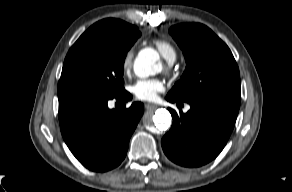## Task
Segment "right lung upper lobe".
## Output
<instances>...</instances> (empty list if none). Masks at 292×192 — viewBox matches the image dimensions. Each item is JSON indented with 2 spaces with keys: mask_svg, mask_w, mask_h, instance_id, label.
<instances>
[{
  "mask_svg": "<svg viewBox=\"0 0 292 192\" xmlns=\"http://www.w3.org/2000/svg\"><path fill=\"white\" fill-rule=\"evenodd\" d=\"M103 21H107L109 23H111L112 25H114L115 27H117L119 30L125 32V33H133L135 32L138 28L130 25L124 21H121L119 19H104Z\"/></svg>",
  "mask_w": 292,
  "mask_h": 192,
  "instance_id": "right-lung-upper-lobe-1",
  "label": "right lung upper lobe"
}]
</instances>
